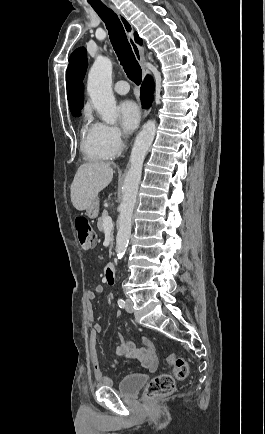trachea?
Listing matches in <instances>:
<instances>
[{"instance_id": "obj_1", "label": "trachea", "mask_w": 265, "mask_h": 434, "mask_svg": "<svg viewBox=\"0 0 265 434\" xmlns=\"http://www.w3.org/2000/svg\"><path fill=\"white\" fill-rule=\"evenodd\" d=\"M90 5L106 24L111 43L127 77L132 80V82L139 85L142 79V70L132 52V48L118 16L103 3H90Z\"/></svg>"}]
</instances>
